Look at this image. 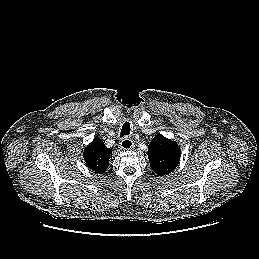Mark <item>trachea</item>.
Listing matches in <instances>:
<instances>
[{
  "label": "trachea",
  "instance_id": "1",
  "mask_svg": "<svg viewBox=\"0 0 259 259\" xmlns=\"http://www.w3.org/2000/svg\"><path fill=\"white\" fill-rule=\"evenodd\" d=\"M130 124L129 122H125L122 126V129H121V132H120V136L123 137V136H127L130 134Z\"/></svg>",
  "mask_w": 259,
  "mask_h": 259
}]
</instances>
